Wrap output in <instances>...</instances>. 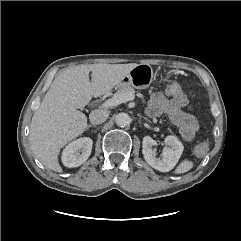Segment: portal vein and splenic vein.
<instances>
[{
    "label": "portal vein and splenic vein",
    "mask_w": 241,
    "mask_h": 241,
    "mask_svg": "<svg viewBox=\"0 0 241 241\" xmlns=\"http://www.w3.org/2000/svg\"><path fill=\"white\" fill-rule=\"evenodd\" d=\"M134 98H135V95L132 92H128V93H124V94H120V95H114V97L106 100L102 104V108H105V109L112 108L119 104L126 103L128 101H132V100H134Z\"/></svg>",
    "instance_id": "obj_1"
}]
</instances>
